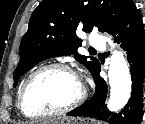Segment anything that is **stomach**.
Returning <instances> with one entry per match:
<instances>
[{
    "label": "stomach",
    "mask_w": 145,
    "mask_h": 124,
    "mask_svg": "<svg viewBox=\"0 0 145 124\" xmlns=\"http://www.w3.org/2000/svg\"><path fill=\"white\" fill-rule=\"evenodd\" d=\"M43 124H99L94 121H85L83 119H70L66 117H60L56 119L49 120Z\"/></svg>",
    "instance_id": "stomach-1"
}]
</instances>
